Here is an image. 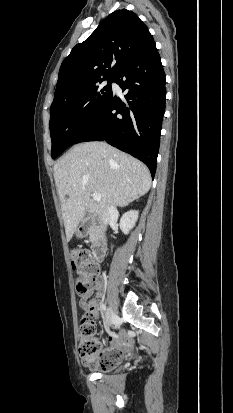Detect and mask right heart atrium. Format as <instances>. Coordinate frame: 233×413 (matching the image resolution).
<instances>
[{
    "mask_svg": "<svg viewBox=\"0 0 233 413\" xmlns=\"http://www.w3.org/2000/svg\"><path fill=\"white\" fill-rule=\"evenodd\" d=\"M86 112H87V109L85 107V108H83L82 113L85 114Z\"/></svg>",
    "mask_w": 233,
    "mask_h": 413,
    "instance_id": "1",
    "label": "right heart atrium"
}]
</instances>
